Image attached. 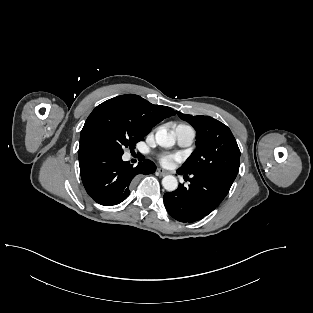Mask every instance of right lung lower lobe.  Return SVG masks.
<instances>
[{"label": "right lung lower lobe", "mask_w": 313, "mask_h": 313, "mask_svg": "<svg viewBox=\"0 0 313 313\" xmlns=\"http://www.w3.org/2000/svg\"><path fill=\"white\" fill-rule=\"evenodd\" d=\"M80 174L88 195L104 206L119 204L130 194V187L139 174L156 170L150 160L133 167L122 160V154L94 150L79 156Z\"/></svg>", "instance_id": "right-lung-lower-lobe-1"}]
</instances>
